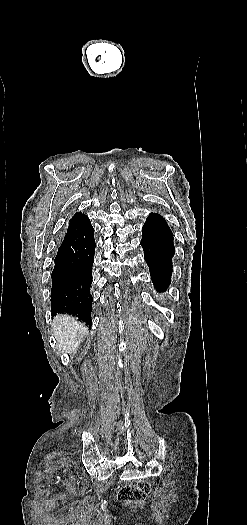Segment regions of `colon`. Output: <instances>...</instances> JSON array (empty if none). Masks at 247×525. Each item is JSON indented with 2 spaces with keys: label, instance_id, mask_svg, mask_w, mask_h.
<instances>
[{
  "label": "colon",
  "instance_id": "obj_1",
  "mask_svg": "<svg viewBox=\"0 0 247 525\" xmlns=\"http://www.w3.org/2000/svg\"><path fill=\"white\" fill-rule=\"evenodd\" d=\"M151 492V485L147 481H139L136 485H126L117 492L119 502L143 501Z\"/></svg>",
  "mask_w": 247,
  "mask_h": 525
}]
</instances>
